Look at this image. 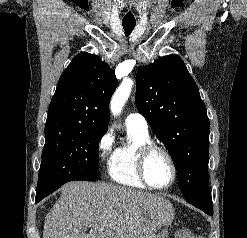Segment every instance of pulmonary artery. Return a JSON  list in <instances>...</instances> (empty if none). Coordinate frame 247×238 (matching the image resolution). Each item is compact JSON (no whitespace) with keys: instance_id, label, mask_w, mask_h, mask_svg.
Wrapping results in <instances>:
<instances>
[{"instance_id":"obj_1","label":"pulmonary artery","mask_w":247,"mask_h":238,"mask_svg":"<svg viewBox=\"0 0 247 238\" xmlns=\"http://www.w3.org/2000/svg\"><path fill=\"white\" fill-rule=\"evenodd\" d=\"M127 127H133L142 131H148V123L146 118L137 112L130 113L125 120Z\"/></svg>"}]
</instances>
